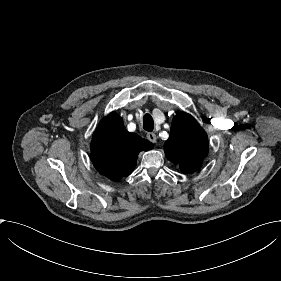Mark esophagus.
<instances>
[{"label":"esophagus","mask_w":281,"mask_h":281,"mask_svg":"<svg viewBox=\"0 0 281 281\" xmlns=\"http://www.w3.org/2000/svg\"><path fill=\"white\" fill-rule=\"evenodd\" d=\"M146 137L152 143H156V141H157V137H156L155 133L150 132L146 135Z\"/></svg>","instance_id":"1"}]
</instances>
